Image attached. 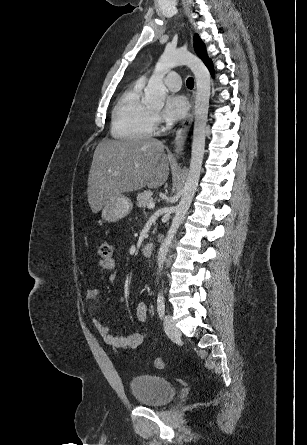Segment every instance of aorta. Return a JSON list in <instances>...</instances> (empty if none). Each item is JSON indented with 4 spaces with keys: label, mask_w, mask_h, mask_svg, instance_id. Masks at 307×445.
I'll return each mask as SVG.
<instances>
[{
    "label": "aorta",
    "mask_w": 307,
    "mask_h": 445,
    "mask_svg": "<svg viewBox=\"0 0 307 445\" xmlns=\"http://www.w3.org/2000/svg\"><path fill=\"white\" fill-rule=\"evenodd\" d=\"M179 64H186V66H189L196 78L195 122L192 152L188 176L183 186V194L179 204H177L175 208V214L172 218L170 229L158 251V273H161L164 267L169 247L192 202L194 192L198 186L205 150L206 122L208 118L211 86L209 70L198 56H195V54H192L189 50H184V48H172V46H166L163 54H161L158 62L155 64L153 74H151L148 80L142 102H144L146 106H163L167 94V88L163 82V78L165 74H167L169 68L179 66Z\"/></svg>",
    "instance_id": "1"
}]
</instances>
